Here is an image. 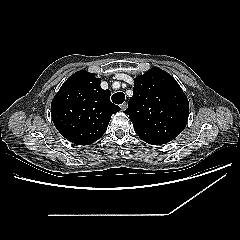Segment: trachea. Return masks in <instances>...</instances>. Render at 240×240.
<instances>
[{
	"instance_id": "obj_1",
	"label": "trachea",
	"mask_w": 240,
	"mask_h": 240,
	"mask_svg": "<svg viewBox=\"0 0 240 240\" xmlns=\"http://www.w3.org/2000/svg\"><path fill=\"white\" fill-rule=\"evenodd\" d=\"M125 101V95L122 92H117L112 96V102L115 104H122Z\"/></svg>"
}]
</instances>
